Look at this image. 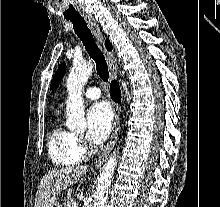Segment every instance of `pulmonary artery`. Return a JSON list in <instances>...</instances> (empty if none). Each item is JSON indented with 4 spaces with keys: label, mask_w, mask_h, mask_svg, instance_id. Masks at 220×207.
I'll return each mask as SVG.
<instances>
[{
    "label": "pulmonary artery",
    "mask_w": 220,
    "mask_h": 207,
    "mask_svg": "<svg viewBox=\"0 0 220 207\" xmlns=\"http://www.w3.org/2000/svg\"><path fill=\"white\" fill-rule=\"evenodd\" d=\"M84 96L89 100H95L101 96V91L98 87H90L85 91Z\"/></svg>",
    "instance_id": "1"
}]
</instances>
